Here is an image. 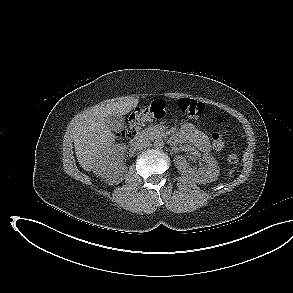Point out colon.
Segmentation results:
<instances>
[{
    "mask_svg": "<svg viewBox=\"0 0 293 293\" xmlns=\"http://www.w3.org/2000/svg\"><path fill=\"white\" fill-rule=\"evenodd\" d=\"M176 109L183 115L193 119L199 118L205 112V107L202 103L188 98L179 99L176 104ZM167 112L168 107L163 100H155L146 107L135 109L129 116L126 127L120 133V137L133 138L145 123L154 119L164 118ZM217 121L221 123V118H218ZM224 132L225 130L220 128V130L212 135L214 148L220 149L224 146ZM228 159L231 164H237L239 162V156L236 152L230 153Z\"/></svg>",
    "mask_w": 293,
    "mask_h": 293,
    "instance_id": "obj_1",
    "label": "colon"
}]
</instances>
